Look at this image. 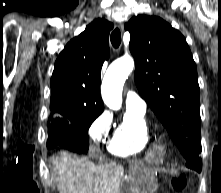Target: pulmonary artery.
Segmentation results:
<instances>
[{
	"label": "pulmonary artery",
	"instance_id": "1",
	"mask_svg": "<svg viewBox=\"0 0 221 193\" xmlns=\"http://www.w3.org/2000/svg\"><path fill=\"white\" fill-rule=\"evenodd\" d=\"M126 107L129 110L144 112L146 109V104L137 93L128 91L126 93Z\"/></svg>",
	"mask_w": 221,
	"mask_h": 193
}]
</instances>
